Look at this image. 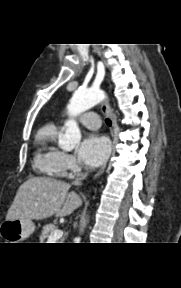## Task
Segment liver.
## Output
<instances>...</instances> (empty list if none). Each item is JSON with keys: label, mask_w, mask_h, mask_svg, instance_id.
I'll list each match as a JSON object with an SVG mask.
<instances>
[{"label": "liver", "mask_w": 181, "mask_h": 288, "mask_svg": "<svg viewBox=\"0 0 181 288\" xmlns=\"http://www.w3.org/2000/svg\"><path fill=\"white\" fill-rule=\"evenodd\" d=\"M64 181L32 177L20 185L6 220H42L52 215L68 216L82 205L80 196Z\"/></svg>", "instance_id": "1"}]
</instances>
